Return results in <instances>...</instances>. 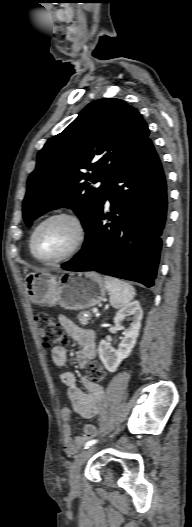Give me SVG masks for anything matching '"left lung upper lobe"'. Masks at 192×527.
Returning <instances> with one entry per match:
<instances>
[{
	"label": "left lung upper lobe",
	"instance_id": "1",
	"mask_svg": "<svg viewBox=\"0 0 192 527\" xmlns=\"http://www.w3.org/2000/svg\"><path fill=\"white\" fill-rule=\"evenodd\" d=\"M147 140L146 122L125 101L104 98L87 105L39 151L23 202L27 225L50 210L68 207L86 231L111 182ZM96 182L101 186L92 187Z\"/></svg>",
	"mask_w": 192,
	"mask_h": 527
}]
</instances>
